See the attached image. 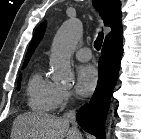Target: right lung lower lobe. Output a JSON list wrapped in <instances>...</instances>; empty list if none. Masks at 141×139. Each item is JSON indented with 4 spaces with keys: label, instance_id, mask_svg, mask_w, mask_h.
<instances>
[{
    "label": "right lung lower lobe",
    "instance_id": "98d812e1",
    "mask_svg": "<svg viewBox=\"0 0 141 139\" xmlns=\"http://www.w3.org/2000/svg\"><path fill=\"white\" fill-rule=\"evenodd\" d=\"M122 57V35L104 42L99 59V79L89 104L77 112L78 124L98 139L105 138V119L112 90L116 84Z\"/></svg>",
    "mask_w": 141,
    "mask_h": 139
}]
</instances>
